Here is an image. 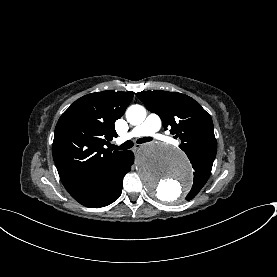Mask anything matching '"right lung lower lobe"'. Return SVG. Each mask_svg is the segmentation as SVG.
I'll use <instances>...</instances> for the list:
<instances>
[{
	"label": "right lung lower lobe",
	"mask_w": 277,
	"mask_h": 277,
	"mask_svg": "<svg viewBox=\"0 0 277 277\" xmlns=\"http://www.w3.org/2000/svg\"><path fill=\"white\" fill-rule=\"evenodd\" d=\"M133 163V152L125 151L121 157L107 163L69 193L76 201L86 207L107 206L121 195L123 177L131 170Z\"/></svg>",
	"instance_id": "obj_1"
}]
</instances>
